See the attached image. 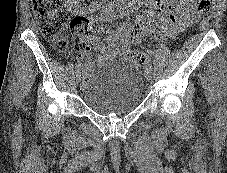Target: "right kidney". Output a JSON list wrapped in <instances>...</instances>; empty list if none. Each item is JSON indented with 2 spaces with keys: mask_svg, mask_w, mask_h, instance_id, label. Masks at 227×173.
Here are the masks:
<instances>
[{
  "mask_svg": "<svg viewBox=\"0 0 227 173\" xmlns=\"http://www.w3.org/2000/svg\"><path fill=\"white\" fill-rule=\"evenodd\" d=\"M81 0H65V5L68 9V11L71 12H79L82 10L81 5H79V2Z\"/></svg>",
  "mask_w": 227,
  "mask_h": 173,
  "instance_id": "right-kidney-1",
  "label": "right kidney"
}]
</instances>
